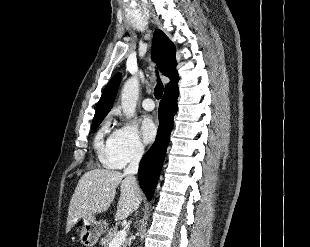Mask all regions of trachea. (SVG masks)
<instances>
[{"mask_svg": "<svg viewBox=\"0 0 310 247\" xmlns=\"http://www.w3.org/2000/svg\"><path fill=\"white\" fill-rule=\"evenodd\" d=\"M156 73H157V76H158V71H156ZM154 95H155V98L158 99V100L163 95V84H162V82H161V80L159 78L157 80V85H156V87L154 89Z\"/></svg>", "mask_w": 310, "mask_h": 247, "instance_id": "trachea-1", "label": "trachea"}]
</instances>
